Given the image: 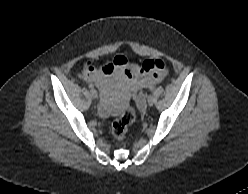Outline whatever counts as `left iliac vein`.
I'll return each instance as SVG.
<instances>
[{
	"mask_svg": "<svg viewBox=\"0 0 248 194\" xmlns=\"http://www.w3.org/2000/svg\"><path fill=\"white\" fill-rule=\"evenodd\" d=\"M155 97L153 95H149L147 98V102L149 106H152L155 103Z\"/></svg>",
	"mask_w": 248,
	"mask_h": 194,
	"instance_id": "4c4485c4",
	"label": "left iliac vein"
}]
</instances>
